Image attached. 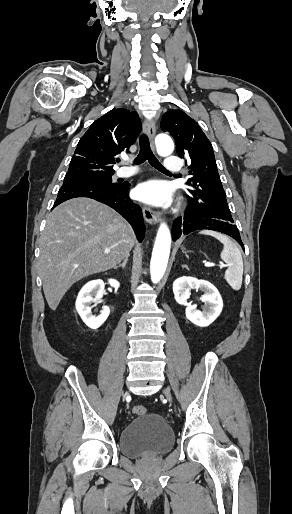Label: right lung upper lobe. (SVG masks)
Masks as SVG:
<instances>
[{"instance_id":"cb5924a9","label":"right lung upper lobe","mask_w":292,"mask_h":514,"mask_svg":"<svg viewBox=\"0 0 292 514\" xmlns=\"http://www.w3.org/2000/svg\"><path fill=\"white\" fill-rule=\"evenodd\" d=\"M141 130L136 112L112 109L97 119L81 137L68 172H115L116 156L129 152Z\"/></svg>"}]
</instances>
